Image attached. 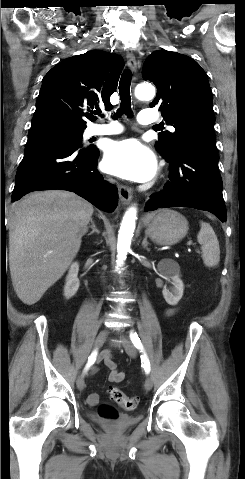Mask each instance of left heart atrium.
Here are the masks:
<instances>
[{"label": "left heart atrium", "mask_w": 245, "mask_h": 479, "mask_svg": "<svg viewBox=\"0 0 245 479\" xmlns=\"http://www.w3.org/2000/svg\"><path fill=\"white\" fill-rule=\"evenodd\" d=\"M102 167L107 173L144 182L153 177L157 164L153 153L139 141L126 139L108 144Z\"/></svg>", "instance_id": "39dd6f15"}]
</instances>
